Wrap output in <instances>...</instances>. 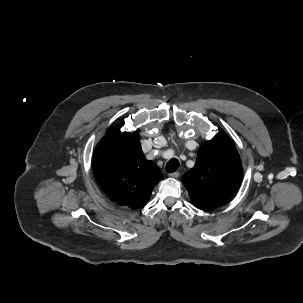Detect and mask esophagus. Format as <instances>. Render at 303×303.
I'll return each mask as SVG.
<instances>
[{
    "label": "esophagus",
    "instance_id": "1",
    "mask_svg": "<svg viewBox=\"0 0 303 303\" xmlns=\"http://www.w3.org/2000/svg\"><path fill=\"white\" fill-rule=\"evenodd\" d=\"M179 175H180V173L179 172H173V173H171V174H169V176L171 177V178H178L179 177Z\"/></svg>",
    "mask_w": 303,
    "mask_h": 303
}]
</instances>
